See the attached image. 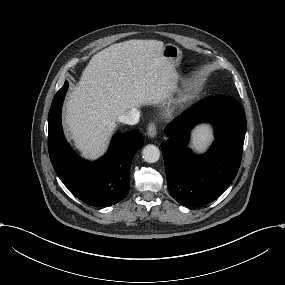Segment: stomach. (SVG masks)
Masks as SVG:
<instances>
[{
  "instance_id": "stomach-1",
  "label": "stomach",
  "mask_w": 285,
  "mask_h": 285,
  "mask_svg": "<svg viewBox=\"0 0 285 285\" xmlns=\"http://www.w3.org/2000/svg\"><path fill=\"white\" fill-rule=\"evenodd\" d=\"M164 56L173 63H177L178 60L181 58V52L179 49L173 45H167L164 49ZM182 95H188V90L183 89Z\"/></svg>"
}]
</instances>
